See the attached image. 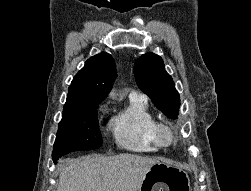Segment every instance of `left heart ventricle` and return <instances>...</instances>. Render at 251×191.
<instances>
[{"instance_id":"b2bd125f","label":"left heart ventricle","mask_w":251,"mask_h":191,"mask_svg":"<svg viewBox=\"0 0 251 191\" xmlns=\"http://www.w3.org/2000/svg\"><path fill=\"white\" fill-rule=\"evenodd\" d=\"M161 138L165 145L171 146L174 143L176 136L171 131L164 130L161 134Z\"/></svg>"}]
</instances>
